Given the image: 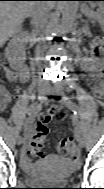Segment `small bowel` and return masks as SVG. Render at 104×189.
I'll use <instances>...</instances> for the list:
<instances>
[{"label": "small bowel", "instance_id": "c3829d8e", "mask_svg": "<svg viewBox=\"0 0 104 189\" xmlns=\"http://www.w3.org/2000/svg\"><path fill=\"white\" fill-rule=\"evenodd\" d=\"M81 68L91 76L90 83L93 85V89L95 93L102 94L103 87L99 82V76L95 75V70H100V66L91 59H84L81 63ZM6 80L9 83L20 81V82H27L29 79V71L26 67H22L17 70H6L5 75ZM11 103V94L8 89L4 86L0 87V105L1 108H6ZM33 133V127L31 124H28L24 127V134L26 143L24 144L22 151H21V160L23 163L28 164L29 162V146L31 144V138Z\"/></svg>", "mask_w": 104, "mask_h": 189}]
</instances>
